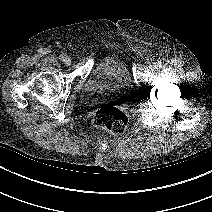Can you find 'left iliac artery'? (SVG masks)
I'll return each instance as SVG.
<instances>
[{"label":"left iliac artery","mask_w":212,"mask_h":212,"mask_svg":"<svg viewBox=\"0 0 212 212\" xmlns=\"http://www.w3.org/2000/svg\"><path fill=\"white\" fill-rule=\"evenodd\" d=\"M155 66H156V68H160L161 67V62H156V64H155Z\"/></svg>","instance_id":"obj_1"}]
</instances>
